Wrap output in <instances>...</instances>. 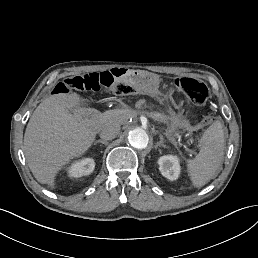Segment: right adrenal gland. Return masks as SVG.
<instances>
[{"label": "right adrenal gland", "mask_w": 258, "mask_h": 258, "mask_svg": "<svg viewBox=\"0 0 258 258\" xmlns=\"http://www.w3.org/2000/svg\"><path fill=\"white\" fill-rule=\"evenodd\" d=\"M95 142H100L102 144H108V141L103 140V139H97V140H95Z\"/></svg>", "instance_id": "right-adrenal-gland-1"}]
</instances>
